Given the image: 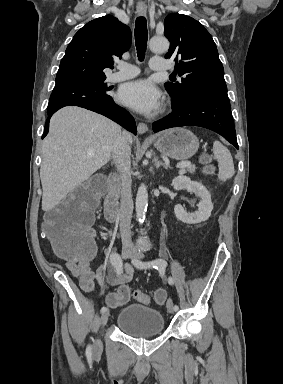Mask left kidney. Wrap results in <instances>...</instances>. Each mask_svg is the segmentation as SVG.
Returning <instances> with one entry per match:
<instances>
[{
  "label": "left kidney",
  "mask_w": 283,
  "mask_h": 384,
  "mask_svg": "<svg viewBox=\"0 0 283 384\" xmlns=\"http://www.w3.org/2000/svg\"><path fill=\"white\" fill-rule=\"evenodd\" d=\"M172 186L174 190L194 192V194L200 198L198 204L199 212H193V214H188L180 204H177L174 208V214L178 220H181L184 224H199V222H206V220L210 218L213 204L211 202V196L203 184H200V182H191L187 176H177V178L172 180Z\"/></svg>",
  "instance_id": "obj_1"
}]
</instances>
